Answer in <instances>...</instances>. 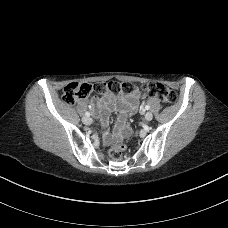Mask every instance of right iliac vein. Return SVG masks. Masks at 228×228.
Wrapping results in <instances>:
<instances>
[{"label": "right iliac vein", "instance_id": "63e3f726", "mask_svg": "<svg viewBox=\"0 0 228 228\" xmlns=\"http://www.w3.org/2000/svg\"><path fill=\"white\" fill-rule=\"evenodd\" d=\"M82 122L86 125H90V124H92L93 121L90 117H83Z\"/></svg>", "mask_w": 228, "mask_h": 228}]
</instances>
